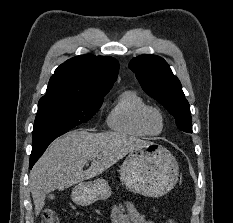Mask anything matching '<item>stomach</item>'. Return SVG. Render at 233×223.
Returning a JSON list of instances; mask_svg holds the SVG:
<instances>
[{"instance_id": "obj_1", "label": "stomach", "mask_w": 233, "mask_h": 223, "mask_svg": "<svg viewBox=\"0 0 233 223\" xmlns=\"http://www.w3.org/2000/svg\"><path fill=\"white\" fill-rule=\"evenodd\" d=\"M178 175L179 167L174 155L153 141H144L143 147L132 149L120 165L122 185L146 197H161L168 193ZM111 191L108 181L97 177L75 185L71 199L77 205H91L98 199H108Z\"/></svg>"}]
</instances>
